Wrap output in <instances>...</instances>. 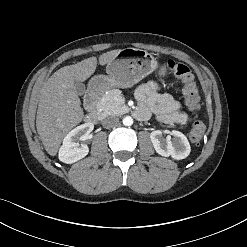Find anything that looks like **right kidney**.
<instances>
[{
    "mask_svg": "<svg viewBox=\"0 0 247 247\" xmlns=\"http://www.w3.org/2000/svg\"><path fill=\"white\" fill-rule=\"evenodd\" d=\"M93 129L92 123H85L71 130L63 140L58 154L59 160L71 164L84 158L89 148L86 144L80 145L79 141L87 139Z\"/></svg>",
    "mask_w": 247,
    "mask_h": 247,
    "instance_id": "ca27d5eb",
    "label": "right kidney"
}]
</instances>
